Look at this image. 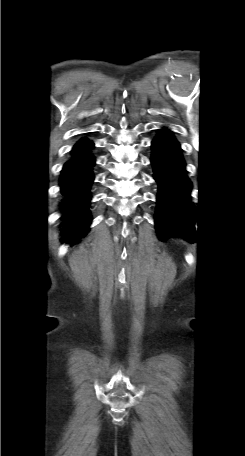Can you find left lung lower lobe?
I'll list each match as a JSON object with an SVG mask.
<instances>
[{"mask_svg": "<svg viewBox=\"0 0 245 456\" xmlns=\"http://www.w3.org/2000/svg\"><path fill=\"white\" fill-rule=\"evenodd\" d=\"M151 163L159 186L155 215L159 239L177 236L192 239L194 207L189 202L191 182L185 175L180 145L170 130H160L152 141Z\"/></svg>", "mask_w": 245, "mask_h": 456, "instance_id": "obj_1", "label": "left lung lower lobe"}]
</instances>
